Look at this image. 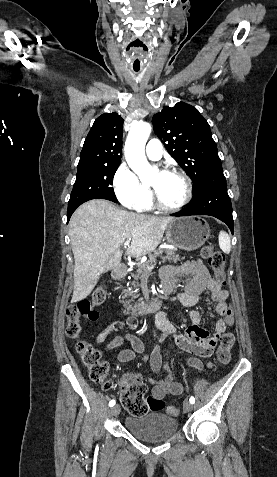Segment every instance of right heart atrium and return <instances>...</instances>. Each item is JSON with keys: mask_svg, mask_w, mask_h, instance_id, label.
I'll return each instance as SVG.
<instances>
[{"mask_svg": "<svg viewBox=\"0 0 277 477\" xmlns=\"http://www.w3.org/2000/svg\"><path fill=\"white\" fill-rule=\"evenodd\" d=\"M113 187L119 202L128 209L143 210L151 201L149 188L139 181L126 164H121L117 168L113 177Z\"/></svg>", "mask_w": 277, "mask_h": 477, "instance_id": "d8ad5b80", "label": "right heart atrium"}]
</instances>
